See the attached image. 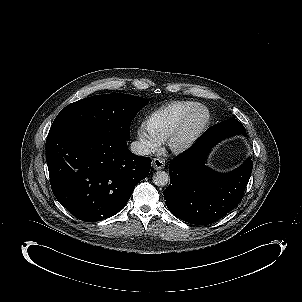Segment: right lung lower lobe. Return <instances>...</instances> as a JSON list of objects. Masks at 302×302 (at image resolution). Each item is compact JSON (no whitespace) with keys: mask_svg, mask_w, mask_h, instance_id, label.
Here are the masks:
<instances>
[{"mask_svg":"<svg viewBox=\"0 0 302 302\" xmlns=\"http://www.w3.org/2000/svg\"><path fill=\"white\" fill-rule=\"evenodd\" d=\"M46 161L54 196L86 222L122 210L151 167V159L133 154L127 140L92 126L48 134Z\"/></svg>","mask_w":302,"mask_h":302,"instance_id":"98d812e1","label":"right lung lower lobe"}]
</instances>
